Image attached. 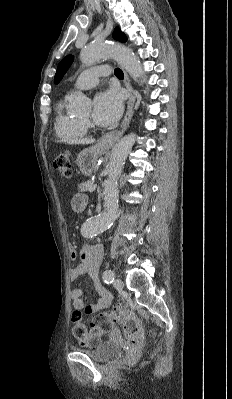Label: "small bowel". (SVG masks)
Listing matches in <instances>:
<instances>
[{"mask_svg":"<svg viewBox=\"0 0 232 399\" xmlns=\"http://www.w3.org/2000/svg\"><path fill=\"white\" fill-rule=\"evenodd\" d=\"M70 204L73 210H82L87 204V197L83 193H75L72 195ZM102 245L103 242L101 239H98L93 247H81L80 249H77L72 244H69L70 259L80 260V264L69 274V283L71 285L75 284L79 276L87 272L93 288L98 295L97 302L92 305H88L78 290H71L69 297L73 303V306L77 309L97 311L110 306V292L108 289L100 285L98 278V269L103 260Z\"/></svg>","mask_w":232,"mask_h":399,"instance_id":"1","label":"small bowel"}]
</instances>
